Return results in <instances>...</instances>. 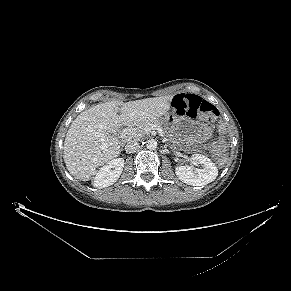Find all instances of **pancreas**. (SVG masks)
Listing matches in <instances>:
<instances>
[{
	"mask_svg": "<svg viewBox=\"0 0 291 291\" xmlns=\"http://www.w3.org/2000/svg\"><path fill=\"white\" fill-rule=\"evenodd\" d=\"M152 125L161 127L162 123L156 119L137 123L128 129L127 136L130 139H141L146 135V127Z\"/></svg>",
	"mask_w": 291,
	"mask_h": 291,
	"instance_id": "pancreas-1",
	"label": "pancreas"
}]
</instances>
